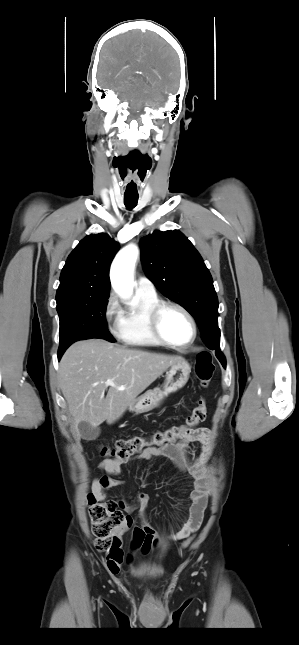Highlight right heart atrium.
I'll return each mask as SVG.
<instances>
[{"label": "right heart atrium", "mask_w": 299, "mask_h": 645, "mask_svg": "<svg viewBox=\"0 0 299 645\" xmlns=\"http://www.w3.org/2000/svg\"><path fill=\"white\" fill-rule=\"evenodd\" d=\"M103 315L107 322L111 324V331L116 333L119 323L120 307L114 294H110L105 302Z\"/></svg>", "instance_id": "right-heart-atrium-1"}]
</instances>
